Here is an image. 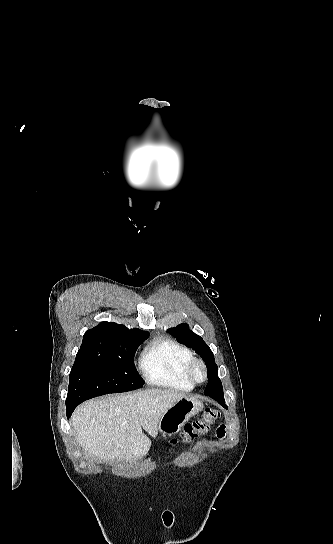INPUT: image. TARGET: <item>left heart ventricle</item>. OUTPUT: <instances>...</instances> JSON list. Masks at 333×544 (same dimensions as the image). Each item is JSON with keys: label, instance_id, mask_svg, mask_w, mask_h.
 <instances>
[{"label": "left heart ventricle", "instance_id": "b2bd125f", "mask_svg": "<svg viewBox=\"0 0 333 544\" xmlns=\"http://www.w3.org/2000/svg\"><path fill=\"white\" fill-rule=\"evenodd\" d=\"M194 374H195L196 379H198V380L202 379L203 373H202V370L200 368H196Z\"/></svg>", "mask_w": 333, "mask_h": 544}]
</instances>
